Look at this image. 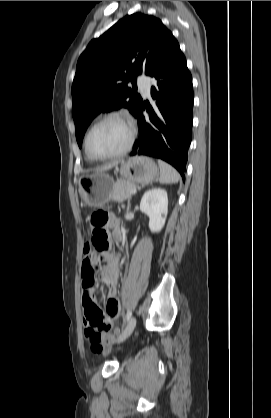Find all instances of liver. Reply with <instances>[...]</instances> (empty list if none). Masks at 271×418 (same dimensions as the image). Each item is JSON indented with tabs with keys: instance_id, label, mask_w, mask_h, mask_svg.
<instances>
[{
	"instance_id": "6515ba94",
	"label": "liver",
	"mask_w": 271,
	"mask_h": 418,
	"mask_svg": "<svg viewBox=\"0 0 271 418\" xmlns=\"http://www.w3.org/2000/svg\"><path fill=\"white\" fill-rule=\"evenodd\" d=\"M117 165H118V162H114V163H112V164H108V165H106V166H104V167L100 168V169L98 170V172H104V171H106V170H109V169L113 168L114 166H117Z\"/></svg>"
}]
</instances>
